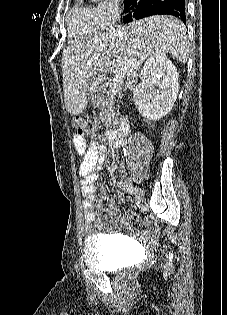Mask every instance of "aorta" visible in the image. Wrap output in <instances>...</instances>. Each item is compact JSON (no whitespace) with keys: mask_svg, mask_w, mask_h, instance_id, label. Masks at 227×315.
Segmentation results:
<instances>
[{"mask_svg":"<svg viewBox=\"0 0 227 315\" xmlns=\"http://www.w3.org/2000/svg\"><path fill=\"white\" fill-rule=\"evenodd\" d=\"M92 2H97V1H99V0H91Z\"/></svg>","mask_w":227,"mask_h":315,"instance_id":"aorta-1","label":"aorta"}]
</instances>
